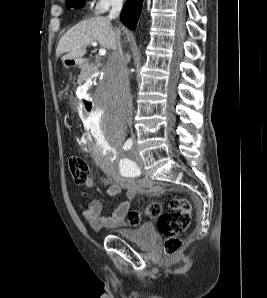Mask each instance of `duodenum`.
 Listing matches in <instances>:
<instances>
[{
  "label": "duodenum",
  "instance_id": "1",
  "mask_svg": "<svg viewBox=\"0 0 267 298\" xmlns=\"http://www.w3.org/2000/svg\"><path fill=\"white\" fill-rule=\"evenodd\" d=\"M87 64V61L85 59H78L74 63V66L76 67H83ZM96 93H90L89 97L80 98V105H83L84 109V115H94V107L92 98H96Z\"/></svg>",
  "mask_w": 267,
  "mask_h": 298
}]
</instances>
